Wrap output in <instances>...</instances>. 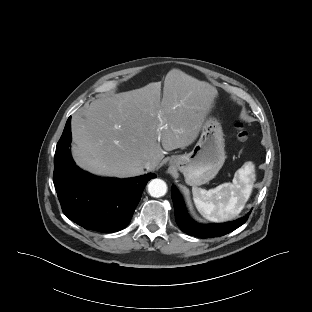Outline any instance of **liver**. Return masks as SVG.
Returning a JSON list of instances; mask_svg holds the SVG:
<instances>
[{"mask_svg": "<svg viewBox=\"0 0 312 312\" xmlns=\"http://www.w3.org/2000/svg\"><path fill=\"white\" fill-rule=\"evenodd\" d=\"M160 95L161 83L153 82L79 109L71 123L76 164L95 175L135 177L144 173L145 161L158 165L165 151L191 145L218 97L216 88L173 69Z\"/></svg>", "mask_w": 312, "mask_h": 312, "instance_id": "1", "label": "liver"}]
</instances>
